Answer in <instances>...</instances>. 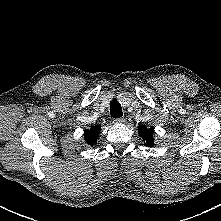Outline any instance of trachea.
Returning a JSON list of instances; mask_svg holds the SVG:
<instances>
[{
	"label": "trachea",
	"mask_w": 221,
	"mask_h": 221,
	"mask_svg": "<svg viewBox=\"0 0 221 221\" xmlns=\"http://www.w3.org/2000/svg\"><path fill=\"white\" fill-rule=\"evenodd\" d=\"M110 112H111V116L114 117V118L122 117L123 112H122V108H121V105L118 102V100L113 99L110 102Z\"/></svg>",
	"instance_id": "trachea-1"
}]
</instances>
